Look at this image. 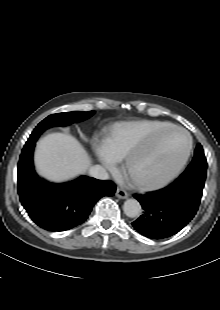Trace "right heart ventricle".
<instances>
[{"instance_id": "right-heart-ventricle-1", "label": "right heart ventricle", "mask_w": 220, "mask_h": 310, "mask_svg": "<svg viewBox=\"0 0 220 310\" xmlns=\"http://www.w3.org/2000/svg\"><path fill=\"white\" fill-rule=\"evenodd\" d=\"M171 125L156 120L121 124L102 144V150L114 162L122 161L132 150L145 143L155 132Z\"/></svg>"}]
</instances>
